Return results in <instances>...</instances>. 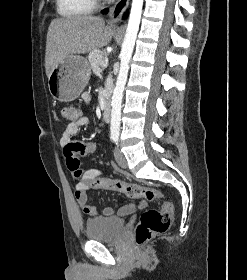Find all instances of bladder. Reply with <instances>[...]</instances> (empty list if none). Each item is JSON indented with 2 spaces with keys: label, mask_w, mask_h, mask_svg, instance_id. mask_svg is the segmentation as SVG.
Listing matches in <instances>:
<instances>
[{
  "label": "bladder",
  "mask_w": 247,
  "mask_h": 280,
  "mask_svg": "<svg viewBox=\"0 0 247 280\" xmlns=\"http://www.w3.org/2000/svg\"><path fill=\"white\" fill-rule=\"evenodd\" d=\"M124 228V220L119 217H96L85 223V235L89 240L114 241Z\"/></svg>",
  "instance_id": "1"
}]
</instances>
